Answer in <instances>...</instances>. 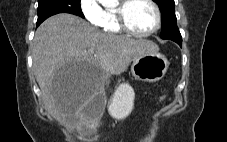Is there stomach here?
<instances>
[{
  "instance_id": "obj_1",
  "label": "stomach",
  "mask_w": 227,
  "mask_h": 142,
  "mask_svg": "<svg viewBox=\"0 0 227 142\" xmlns=\"http://www.w3.org/2000/svg\"><path fill=\"white\" fill-rule=\"evenodd\" d=\"M168 69V60L158 51L144 53L133 59L132 75L136 80L149 83L159 81ZM135 93L127 84H120L109 102V112L116 119L126 118L134 105Z\"/></svg>"
}]
</instances>
